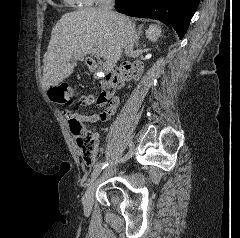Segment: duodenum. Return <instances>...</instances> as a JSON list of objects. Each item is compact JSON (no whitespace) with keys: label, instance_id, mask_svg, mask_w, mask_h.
<instances>
[{"label":"duodenum","instance_id":"1","mask_svg":"<svg viewBox=\"0 0 240 238\" xmlns=\"http://www.w3.org/2000/svg\"><path fill=\"white\" fill-rule=\"evenodd\" d=\"M87 64L91 70H96L97 63L94 60L88 59ZM128 66H129V64H125L122 68L128 67Z\"/></svg>","mask_w":240,"mask_h":238}]
</instances>
